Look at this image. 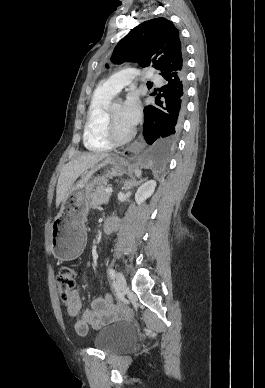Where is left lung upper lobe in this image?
<instances>
[{
    "label": "left lung upper lobe",
    "instance_id": "obj_1",
    "mask_svg": "<svg viewBox=\"0 0 265 388\" xmlns=\"http://www.w3.org/2000/svg\"><path fill=\"white\" fill-rule=\"evenodd\" d=\"M131 60L142 67L152 65L161 76L183 69L185 52L178 29L165 18L139 24L117 44L111 57L114 64Z\"/></svg>",
    "mask_w": 265,
    "mask_h": 388
}]
</instances>
